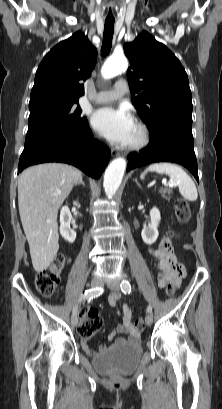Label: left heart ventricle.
I'll return each mask as SVG.
<instances>
[{"instance_id":"b2bd125f","label":"left heart ventricle","mask_w":222,"mask_h":409,"mask_svg":"<svg viewBox=\"0 0 222 409\" xmlns=\"http://www.w3.org/2000/svg\"><path fill=\"white\" fill-rule=\"evenodd\" d=\"M138 137H139V131H138L137 127L135 126V129H134V132H133L130 143H133V142L137 141Z\"/></svg>"}]
</instances>
